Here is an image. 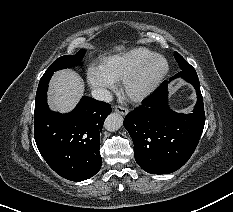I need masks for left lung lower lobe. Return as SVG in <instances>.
I'll use <instances>...</instances> for the list:
<instances>
[{"instance_id":"0a47b994","label":"left lung lower lobe","mask_w":233,"mask_h":212,"mask_svg":"<svg viewBox=\"0 0 233 212\" xmlns=\"http://www.w3.org/2000/svg\"><path fill=\"white\" fill-rule=\"evenodd\" d=\"M177 77L196 89L193 113L181 114L170 109L167 102L169 82L164 81L141 107L124 119V127L134 143L135 160L151 174H168L182 167L193 154L204 128L205 113L197 74H176L169 81Z\"/></svg>"}]
</instances>
